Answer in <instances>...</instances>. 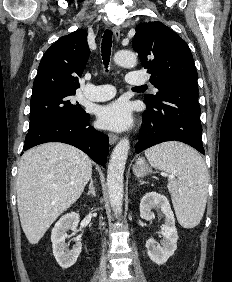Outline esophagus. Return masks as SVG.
Returning a JSON list of instances; mask_svg holds the SVG:
<instances>
[{"label": "esophagus", "instance_id": "esophagus-1", "mask_svg": "<svg viewBox=\"0 0 232 282\" xmlns=\"http://www.w3.org/2000/svg\"><path fill=\"white\" fill-rule=\"evenodd\" d=\"M112 31L115 39L118 41L120 38V28L117 26H113ZM118 139H119L118 135L113 133L109 134V142L111 145L115 144L118 141Z\"/></svg>", "mask_w": 232, "mask_h": 282}]
</instances>
